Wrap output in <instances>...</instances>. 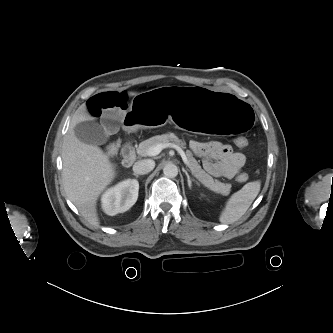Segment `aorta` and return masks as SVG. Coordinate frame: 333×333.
Here are the masks:
<instances>
[{
    "label": "aorta",
    "instance_id": "762f6f07",
    "mask_svg": "<svg viewBox=\"0 0 333 333\" xmlns=\"http://www.w3.org/2000/svg\"><path fill=\"white\" fill-rule=\"evenodd\" d=\"M163 173L168 178H174L178 175V168L175 164H166L163 168Z\"/></svg>",
    "mask_w": 333,
    "mask_h": 333
}]
</instances>
